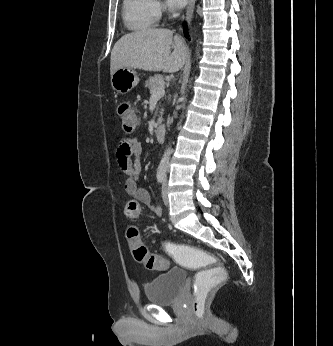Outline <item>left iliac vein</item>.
Here are the masks:
<instances>
[{
  "instance_id": "obj_1",
  "label": "left iliac vein",
  "mask_w": 333,
  "mask_h": 346,
  "mask_svg": "<svg viewBox=\"0 0 333 346\" xmlns=\"http://www.w3.org/2000/svg\"><path fill=\"white\" fill-rule=\"evenodd\" d=\"M167 181H168V178L167 176H165L164 178V181H163V184H162V200L164 202L165 205H168L169 203V199H168V192H167Z\"/></svg>"
}]
</instances>
